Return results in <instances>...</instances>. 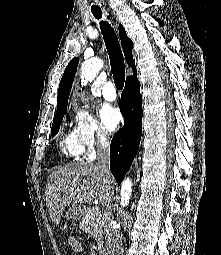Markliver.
<instances>
[{
  "label": "liver",
  "instance_id": "1",
  "mask_svg": "<svg viewBox=\"0 0 221 255\" xmlns=\"http://www.w3.org/2000/svg\"><path fill=\"white\" fill-rule=\"evenodd\" d=\"M114 183L98 165L78 162L59 167L48 177L45 189L46 204L52 222L58 226L66 207L84 206L93 199L101 204L111 201Z\"/></svg>",
  "mask_w": 221,
  "mask_h": 255
}]
</instances>
